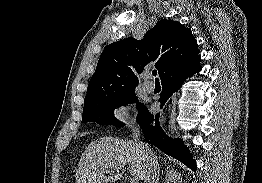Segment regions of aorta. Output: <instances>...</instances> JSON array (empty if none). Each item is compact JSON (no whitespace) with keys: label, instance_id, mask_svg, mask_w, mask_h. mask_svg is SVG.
<instances>
[{"label":"aorta","instance_id":"1","mask_svg":"<svg viewBox=\"0 0 262 183\" xmlns=\"http://www.w3.org/2000/svg\"><path fill=\"white\" fill-rule=\"evenodd\" d=\"M165 122V117H161V124Z\"/></svg>","mask_w":262,"mask_h":183}]
</instances>
